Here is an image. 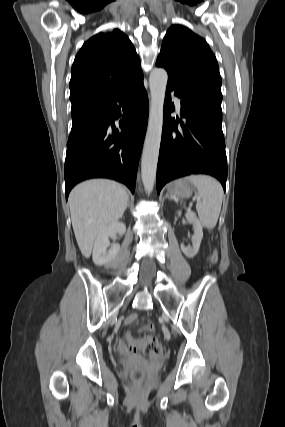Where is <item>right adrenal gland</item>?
Segmentation results:
<instances>
[{
    "instance_id": "2a0ac1e0",
    "label": "right adrenal gland",
    "mask_w": 285,
    "mask_h": 427,
    "mask_svg": "<svg viewBox=\"0 0 285 427\" xmlns=\"http://www.w3.org/2000/svg\"><path fill=\"white\" fill-rule=\"evenodd\" d=\"M130 206V199L128 198L127 207Z\"/></svg>"
}]
</instances>
